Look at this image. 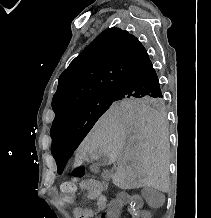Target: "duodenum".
<instances>
[{
  "label": "duodenum",
  "instance_id": "obj_1",
  "mask_svg": "<svg viewBox=\"0 0 211 218\" xmlns=\"http://www.w3.org/2000/svg\"><path fill=\"white\" fill-rule=\"evenodd\" d=\"M101 187H102L103 189H105V188H106V184H105L104 182H101Z\"/></svg>",
  "mask_w": 211,
  "mask_h": 218
}]
</instances>
